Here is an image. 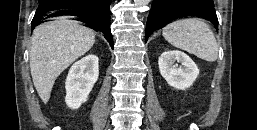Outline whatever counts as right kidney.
Listing matches in <instances>:
<instances>
[{
  "label": "right kidney",
  "mask_w": 257,
  "mask_h": 130,
  "mask_svg": "<svg viewBox=\"0 0 257 130\" xmlns=\"http://www.w3.org/2000/svg\"><path fill=\"white\" fill-rule=\"evenodd\" d=\"M98 57L89 54L72 65L65 83V102L71 109H78L86 102L99 76Z\"/></svg>",
  "instance_id": "obj_1"
}]
</instances>
